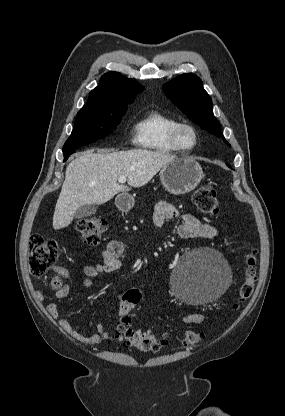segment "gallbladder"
Here are the masks:
<instances>
[{"mask_svg": "<svg viewBox=\"0 0 285 416\" xmlns=\"http://www.w3.org/2000/svg\"><path fill=\"white\" fill-rule=\"evenodd\" d=\"M97 208L95 204H85V206H81L77 212L74 214V218H88V216H93V214H96Z\"/></svg>", "mask_w": 285, "mask_h": 416, "instance_id": "gallbladder-1", "label": "gallbladder"}]
</instances>
